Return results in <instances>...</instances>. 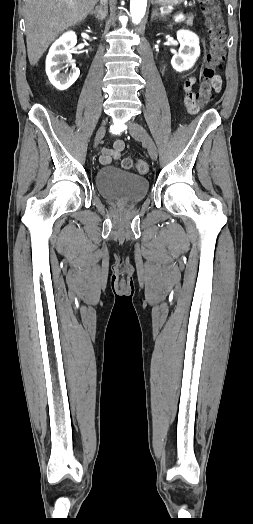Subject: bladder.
<instances>
[{
    "label": "bladder",
    "instance_id": "31cf9c89",
    "mask_svg": "<svg viewBox=\"0 0 253 524\" xmlns=\"http://www.w3.org/2000/svg\"><path fill=\"white\" fill-rule=\"evenodd\" d=\"M96 188L106 200L117 204H135L148 193L149 182L144 176L107 166L96 173Z\"/></svg>",
    "mask_w": 253,
    "mask_h": 524
}]
</instances>
